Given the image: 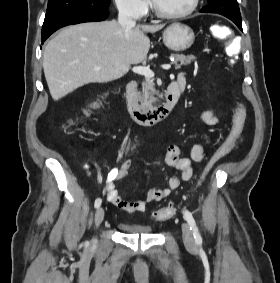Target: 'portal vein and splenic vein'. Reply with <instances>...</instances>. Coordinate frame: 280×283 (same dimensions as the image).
I'll return each instance as SVG.
<instances>
[{
    "label": "portal vein and splenic vein",
    "mask_w": 280,
    "mask_h": 283,
    "mask_svg": "<svg viewBox=\"0 0 280 283\" xmlns=\"http://www.w3.org/2000/svg\"><path fill=\"white\" fill-rule=\"evenodd\" d=\"M165 70H169L171 68V64H164L161 66ZM132 71L136 74L143 75L144 77L150 79L154 77V72L146 66H135Z\"/></svg>",
    "instance_id": "18ae733b"
}]
</instances>
